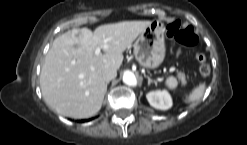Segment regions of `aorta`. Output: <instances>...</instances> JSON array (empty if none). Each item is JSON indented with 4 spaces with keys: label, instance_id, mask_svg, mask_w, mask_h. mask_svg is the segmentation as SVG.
Returning <instances> with one entry per match:
<instances>
[{
    "label": "aorta",
    "instance_id": "aorta-1",
    "mask_svg": "<svg viewBox=\"0 0 247 145\" xmlns=\"http://www.w3.org/2000/svg\"><path fill=\"white\" fill-rule=\"evenodd\" d=\"M123 82L128 86H136L137 78L133 72L125 71L123 74Z\"/></svg>",
    "mask_w": 247,
    "mask_h": 145
}]
</instances>
